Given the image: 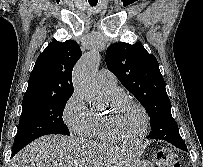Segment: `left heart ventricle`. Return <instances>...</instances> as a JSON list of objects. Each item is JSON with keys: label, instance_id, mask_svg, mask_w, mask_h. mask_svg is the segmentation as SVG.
<instances>
[{"label": "left heart ventricle", "instance_id": "1", "mask_svg": "<svg viewBox=\"0 0 203 167\" xmlns=\"http://www.w3.org/2000/svg\"><path fill=\"white\" fill-rule=\"evenodd\" d=\"M111 119L113 131L121 138L133 139L143 127L142 113L128 102L117 104L111 113Z\"/></svg>", "mask_w": 203, "mask_h": 167}]
</instances>
